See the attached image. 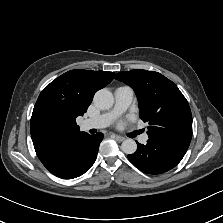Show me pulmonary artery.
Listing matches in <instances>:
<instances>
[{"label": "pulmonary artery", "mask_w": 223, "mask_h": 223, "mask_svg": "<svg viewBox=\"0 0 223 223\" xmlns=\"http://www.w3.org/2000/svg\"><path fill=\"white\" fill-rule=\"evenodd\" d=\"M114 96V107L106 113L86 119L83 123L86 129H101L109 126L120 114L126 111L133 102V91L128 86L118 87L114 92ZM138 141L140 144L145 145L148 143L149 138L147 135L142 134L139 136Z\"/></svg>", "instance_id": "obj_1"}]
</instances>
